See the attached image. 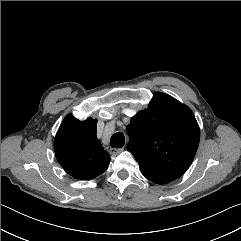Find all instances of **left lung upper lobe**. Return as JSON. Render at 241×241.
<instances>
[{
  "instance_id": "left-lung-upper-lobe-1",
  "label": "left lung upper lobe",
  "mask_w": 241,
  "mask_h": 241,
  "mask_svg": "<svg viewBox=\"0 0 241 241\" xmlns=\"http://www.w3.org/2000/svg\"><path fill=\"white\" fill-rule=\"evenodd\" d=\"M127 132L128 151L144 177L157 184L169 183L187 171L200 140L191 109L160 92L154 94L147 109L131 119Z\"/></svg>"
}]
</instances>
